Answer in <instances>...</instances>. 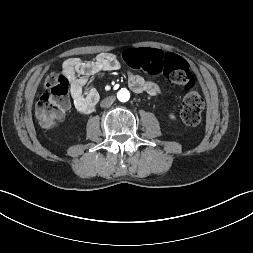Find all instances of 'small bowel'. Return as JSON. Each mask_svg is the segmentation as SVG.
<instances>
[{
  "mask_svg": "<svg viewBox=\"0 0 253 253\" xmlns=\"http://www.w3.org/2000/svg\"><path fill=\"white\" fill-rule=\"evenodd\" d=\"M119 66L118 57L112 53H100L91 61H82L79 58L72 57L63 63V72L69 79L70 93L75 108L79 112H87L99 100L98 92L87 87L89 78L102 71H115ZM128 84L137 93H147L155 96L160 92V88L156 83L145 80L134 73H129Z\"/></svg>",
  "mask_w": 253,
  "mask_h": 253,
  "instance_id": "small-bowel-1",
  "label": "small bowel"
}]
</instances>
